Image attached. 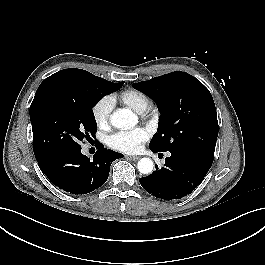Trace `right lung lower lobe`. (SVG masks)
Segmentation results:
<instances>
[{
    "label": "right lung lower lobe",
    "instance_id": "1",
    "mask_svg": "<svg viewBox=\"0 0 265 265\" xmlns=\"http://www.w3.org/2000/svg\"><path fill=\"white\" fill-rule=\"evenodd\" d=\"M35 157L55 186L70 194H86L106 182L111 163L123 155L101 144L93 161L81 153V147L49 151Z\"/></svg>",
    "mask_w": 265,
    "mask_h": 265
}]
</instances>
